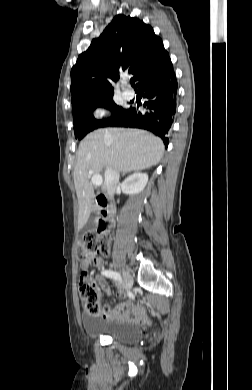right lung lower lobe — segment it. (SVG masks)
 Instances as JSON below:
<instances>
[{
  "mask_svg": "<svg viewBox=\"0 0 252 390\" xmlns=\"http://www.w3.org/2000/svg\"><path fill=\"white\" fill-rule=\"evenodd\" d=\"M177 86L173 69L163 75L148 78L138 86L140 95L145 99V111L140 112L130 107L107 126L149 130L161 137L167 147V134L177 107Z\"/></svg>",
  "mask_w": 252,
  "mask_h": 390,
  "instance_id": "right-lung-lower-lobe-1",
  "label": "right lung lower lobe"
}]
</instances>
